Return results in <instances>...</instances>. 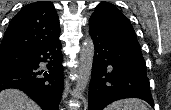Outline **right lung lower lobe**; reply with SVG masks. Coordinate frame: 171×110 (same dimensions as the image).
<instances>
[{
    "mask_svg": "<svg viewBox=\"0 0 171 110\" xmlns=\"http://www.w3.org/2000/svg\"><path fill=\"white\" fill-rule=\"evenodd\" d=\"M26 63L0 71V91L17 88L29 95L43 110H59L63 91L61 43L58 38L29 53ZM41 63H46L42 66Z\"/></svg>",
    "mask_w": 171,
    "mask_h": 110,
    "instance_id": "98d812e1",
    "label": "right lung lower lobe"
}]
</instances>
